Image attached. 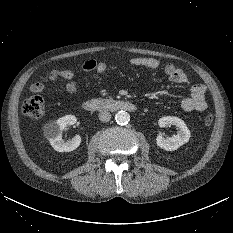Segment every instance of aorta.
Returning a JSON list of instances; mask_svg holds the SVG:
<instances>
[{
    "instance_id": "1",
    "label": "aorta",
    "mask_w": 233,
    "mask_h": 233,
    "mask_svg": "<svg viewBox=\"0 0 233 233\" xmlns=\"http://www.w3.org/2000/svg\"><path fill=\"white\" fill-rule=\"evenodd\" d=\"M116 123L119 125H126L130 121V115L126 111H118L115 115Z\"/></svg>"
}]
</instances>
